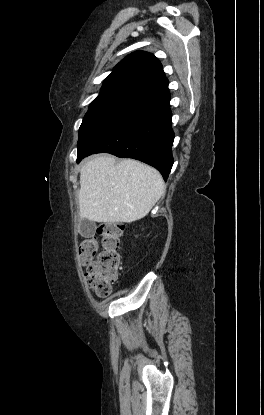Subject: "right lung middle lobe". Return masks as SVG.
<instances>
[{
  "mask_svg": "<svg viewBox=\"0 0 264 415\" xmlns=\"http://www.w3.org/2000/svg\"><path fill=\"white\" fill-rule=\"evenodd\" d=\"M143 100L122 94L99 95L90 104L79 128L78 150L112 125L122 115Z\"/></svg>",
  "mask_w": 264,
  "mask_h": 415,
  "instance_id": "right-lung-middle-lobe-1",
  "label": "right lung middle lobe"
}]
</instances>
